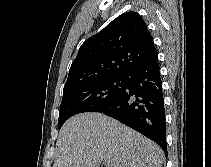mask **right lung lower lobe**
I'll use <instances>...</instances> for the list:
<instances>
[{
	"instance_id": "obj_1",
	"label": "right lung lower lobe",
	"mask_w": 211,
	"mask_h": 167,
	"mask_svg": "<svg viewBox=\"0 0 211 167\" xmlns=\"http://www.w3.org/2000/svg\"><path fill=\"white\" fill-rule=\"evenodd\" d=\"M158 58L130 70L124 91L95 112L104 113L156 142L167 152L165 109Z\"/></svg>"
}]
</instances>
